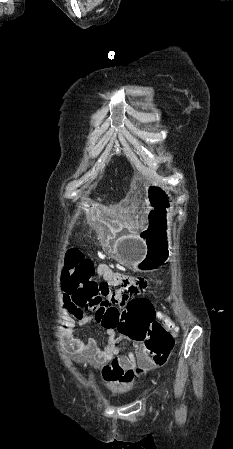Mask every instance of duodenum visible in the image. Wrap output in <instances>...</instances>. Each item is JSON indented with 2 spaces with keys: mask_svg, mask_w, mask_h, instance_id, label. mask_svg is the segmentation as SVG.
I'll return each mask as SVG.
<instances>
[{
  "mask_svg": "<svg viewBox=\"0 0 233 449\" xmlns=\"http://www.w3.org/2000/svg\"><path fill=\"white\" fill-rule=\"evenodd\" d=\"M87 206L90 208L92 205L89 203Z\"/></svg>",
  "mask_w": 233,
  "mask_h": 449,
  "instance_id": "duodenum-1",
  "label": "duodenum"
}]
</instances>
